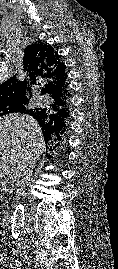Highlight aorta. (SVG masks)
<instances>
[{
    "mask_svg": "<svg viewBox=\"0 0 118 269\" xmlns=\"http://www.w3.org/2000/svg\"><path fill=\"white\" fill-rule=\"evenodd\" d=\"M24 220H25V208L23 204L19 203L15 208L11 225L12 239L15 242H17L22 233L24 227Z\"/></svg>",
    "mask_w": 118,
    "mask_h": 269,
    "instance_id": "obj_1",
    "label": "aorta"
}]
</instances>
